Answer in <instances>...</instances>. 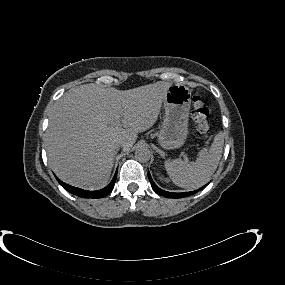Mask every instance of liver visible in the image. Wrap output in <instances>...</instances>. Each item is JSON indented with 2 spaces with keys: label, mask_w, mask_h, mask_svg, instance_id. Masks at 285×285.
I'll return each mask as SVG.
<instances>
[{
  "label": "liver",
  "mask_w": 285,
  "mask_h": 285,
  "mask_svg": "<svg viewBox=\"0 0 285 285\" xmlns=\"http://www.w3.org/2000/svg\"><path fill=\"white\" fill-rule=\"evenodd\" d=\"M170 85L159 81L121 91L85 84L64 93L53 106L45 133L51 169L68 184L103 188L111 175L116 142L123 141L128 151L137 133L155 124Z\"/></svg>",
  "instance_id": "1"
}]
</instances>
